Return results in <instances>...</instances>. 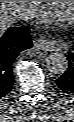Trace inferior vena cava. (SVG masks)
Returning <instances> with one entry per match:
<instances>
[{
	"label": "inferior vena cava",
	"instance_id": "obj_1",
	"mask_svg": "<svg viewBox=\"0 0 74 122\" xmlns=\"http://www.w3.org/2000/svg\"><path fill=\"white\" fill-rule=\"evenodd\" d=\"M36 15L35 6L33 4H27L20 10V16L24 20L32 19Z\"/></svg>",
	"mask_w": 74,
	"mask_h": 122
}]
</instances>
